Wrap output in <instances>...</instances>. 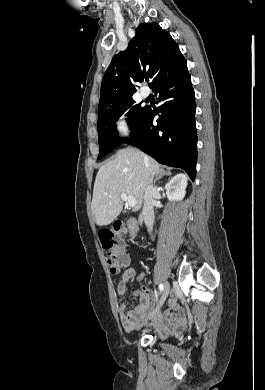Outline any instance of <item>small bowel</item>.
Here are the masks:
<instances>
[{
	"instance_id": "obj_1",
	"label": "small bowel",
	"mask_w": 265,
	"mask_h": 390,
	"mask_svg": "<svg viewBox=\"0 0 265 390\" xmlns=\"http://www.w3.org/2000/svg\"><path fill=\"white\" fill-rule=\"evenodd\" d=\"M131 263L130 257L126 256L124 266L127 268L124 270L121 279L117 286V292L119 295L117 301V309L119 319L122 323L123 328L127 332H132L136 329L140 321L145 316L149 309V306L154 301L153 292L145 286H141V296L137 306L127 312L126 302L124 295L127 289V283L129 280L136 277L135 270L128 267ZM142 275L138 276V279H142ZM187 323V315L184 309L180 308L174 299L170 302L169 311L160 314L157 319L152 323L153 327L160 333L170 330L176 326H185Z\"/></svg>"
}]
</instances>
